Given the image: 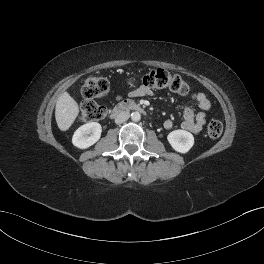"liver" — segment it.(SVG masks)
<instances>
[{
    "mask_svg": "<svg viewBox=\"0 0 264 264\" xmlns=\"http://www.w3.org/2000/svg\"><path fill=\"white\" fill-rule=\"evenodd\" d=\"M79 113L77 102L68 92H64L58 98L55 107V119L61 131L68 130Z\"/></svg>",
    "mask_w": 264,
    "mask_h": 264,
    "instance_id": "liver-1",
    "label": "liver"
}]
</instances>
